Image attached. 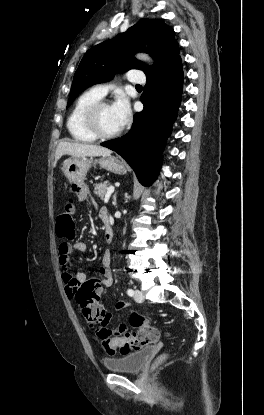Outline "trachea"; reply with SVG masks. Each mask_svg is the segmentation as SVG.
<instances>
[{
    "label": "trachea",
    "instance_id": "1",
    "mask_svg": "<svg viewBox=\"0 0 264 415\" xmlns=\"http://www.w3.org/2000/svg\"><path fill=\"white\" fill-rule=\"evenodd\" d=\"M136 87H142L141 85H136Z\"/></svg>",
    "mask_w": 264,
    "mask_h": 415
}]
</instances>
